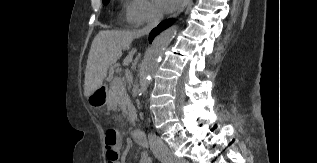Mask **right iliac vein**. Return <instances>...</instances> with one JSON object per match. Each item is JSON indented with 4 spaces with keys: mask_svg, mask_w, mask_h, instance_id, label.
Returning a JSON list of instances; mask_svg holds the SVG:
<instances>
[{
    "mask_svg": "<svg viewBox=\"0 0 317 163\" xmlns=\"http://www.w3.org/2000/svg\"><path fill=\"white\" fill-rule=\"evenodd\" d=\"M166 163H188V162L179 161L177 159H171V160H168Z\"/></svg>",
    "mask_w": 317,
    "mask_h": 163,
    "instance_id": "63e3f726",
    "label": "right iliac vein"
}]
</instances>
